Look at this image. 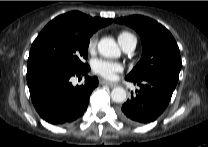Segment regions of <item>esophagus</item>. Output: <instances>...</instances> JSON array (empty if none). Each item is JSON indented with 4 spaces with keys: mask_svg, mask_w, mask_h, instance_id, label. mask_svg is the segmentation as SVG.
<instances>
[{
    "mask_svg": "<svg viewBox=\"0 0 208 147\" xmlns=\"http://www.w3.org/2000/svg\"><path fill=\"white\" fill-rule=\"evenodd\" d=\"M100 83L101 84H103V85H107V86H109V87H116L117 86V84L116 83H113V82H109V81H107V80H100Z\"/></svg>",
    "mask_w": 208,
    "mask_h": 147,
    "instance_id": "34e87169",
    "label": "esophagus"
}]
</instances>
